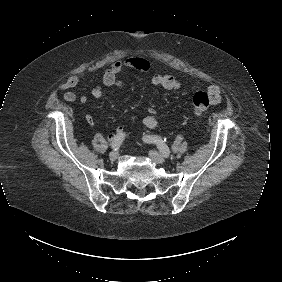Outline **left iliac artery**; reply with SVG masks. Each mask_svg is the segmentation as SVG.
Segmentation results:
<instances>
[{"label":"left iliac artery","mask_w":282,"mask_h":282,"mask_svg":"<svg viewBox=\"0 0 282 282\" xmlns=\"http://www.w3.org/2000/svg\"><path fill=\"white\" fill-rule=\"evenodd\" d=\"M143 140L147 143L156 144L157 148L159 149V151L162 153L164 157H168L170 155V150L168 146L164 143V141L160 137L154 135H146L144 136Z\"/></svg>","instance_id":"left-iliac-artery-1"}]
</instances>
